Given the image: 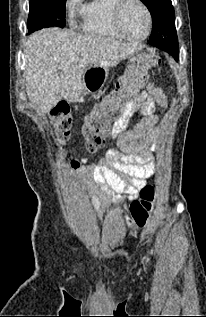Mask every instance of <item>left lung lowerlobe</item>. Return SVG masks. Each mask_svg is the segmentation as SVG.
I'll return each instance as SVG.
<instances>
[{
	"mask_svg": "<svg viewBox=\"0 0 206 317\" xmlns=\"http://www.w3.org/2000/svg\"><path fill=\"white\" fill-rule=\"evenodd\" d=\"M157 48L162 49L169 54H171L176 60H178L179 57V48L178 45L172 44V43H167V44H159L156 45Z\"/></svg>",
	"mask_w": 206,
	"mask_h": 317,
	"instance_id": "left-lung-lower-lobe-1",
	"label": "left lung lower lobe"
}]
</instances>
